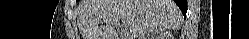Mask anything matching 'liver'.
<instances>
[{
    "label": "liver",
    "instance_id": "6515ba94",
    "mask_svg": "<svg viewBox=\"0 0 249 39\" xmlns=\"http://www.w3.org/2000/svg\"><path fill=\"white\" fill-rule=\"evenodd\" d=\"M79 13L83 39H116L119 20L130 29L129 39H145L158 28L177 30L182 22L173 0H84Z\"/></svg>",
    "mask_w": 249,
    "mask_h": 39
}]
</instances>
